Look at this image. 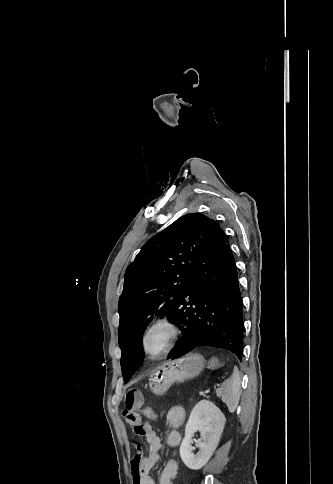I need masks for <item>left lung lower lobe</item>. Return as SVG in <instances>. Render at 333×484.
Returning a JSON list of instances; mask_svg holds the SVG:
<instances>
[{
  "instance_id": "1",
  "label": "left lung lower lobe",
  "mask_w": 333,
  "mask_h": 484,
  "mask_svg": "<svg viewBox=\"0 0 333 484\" xmlns=\"http://www.w3.org/2000/svg\"><path fill=\"white\" fill-rule=\"evenodd\" d=\"M167 316L183 332L168 359L212 346L242 360L243 302L234 258L216 221L193 256Z\"/></svg>"
}]
</instances>
